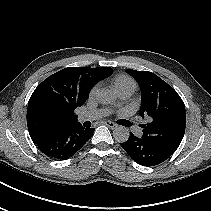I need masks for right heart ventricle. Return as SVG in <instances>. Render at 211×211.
I'll return each instance as SVG.
<instances>
[{"instance_id": "e07e8e85", "label": "right heart ventricle", "mask_w": 211, "mask_h": 211, "mask_svg": "<svg viewBox=\"0 0 211 211\" xmlns=\"http://www.w3.org/2000/svg\"><path fill=\"white\" fill-rule=\"evenodd\" d=\"M114 88L119 92L122 90H132L136 89V82L127 75H118L113 79Z\"/></svg>"}]
</instances>
